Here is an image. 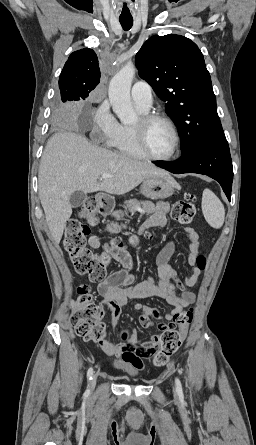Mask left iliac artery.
Listing matches in <instances>:
<instances>
[{"instance_id":"1","label":"left iliac artery","mask_w":256,"mask_h":445,"mask_svg":"<svg viewBox=\"0 0 256 445\" xmlns=\"http://www.w3.org/2000/svg\"><path fill=\"white\" fill-rule=\"evenodd\" d=\"M175 384H176L177 391L181 393L182 392V384L178 378H176Z\"/></svg>"}]
</instances>
